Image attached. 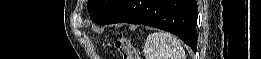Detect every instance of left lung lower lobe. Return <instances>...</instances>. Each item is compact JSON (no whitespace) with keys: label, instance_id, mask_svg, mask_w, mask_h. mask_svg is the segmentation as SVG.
<instances>
[{"label":"left lung lower lobe","instance_id":"1","mask_svg":"<svg viewBox=\"0 0 261 59\" xmlns=\"http://www.w3.org/2000/svg\"><path fill=\"white\" fill-rule=\"evenodd\" d=\"M197 15L195 0H119L97 23L156 27L177 35L195 52Z\"/></svg>","mask_w":261,"mask_h":59}]
</instances>
